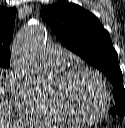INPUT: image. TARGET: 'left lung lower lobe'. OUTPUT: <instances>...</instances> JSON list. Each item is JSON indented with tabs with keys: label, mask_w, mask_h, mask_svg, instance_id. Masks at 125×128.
<instances>
[{
	"label": "left lung lower lobe",
	"mask_w": 125,
	"mask_h": 128,
	"mask_svg": "<svg viewBox=\"0 0 125 128\" xmlns=\"http://www.w3.org/2000/svg\"><path fill=\"white\" fill-rule=\"evenodd\" d=\"M115 112H116V111H112V112L110 111L111 114H115ZM115 115H116V114H115Z\"/></svg>",
	"instance_id": "left-lung-lower-lobe-1"
}]
</instances>
